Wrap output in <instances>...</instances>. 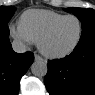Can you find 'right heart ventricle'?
<instances>
[{
    "instance_id": "1",
    "label": "right heart ventricle",
    "mask_w": 95,
    "mask_h": 95,
    "mask_svg": "<svg viewBox=\"0 0 95 95\" xmlns=\"http://www.w3.org/2000/svg\"><path fill=\"white\" fill-rule=\"evenodd\" d=\"M63 16L51 10L31 9L21 15L20 25L33 42H38L41 35Z\"/></svg>"
}]
</instances>
